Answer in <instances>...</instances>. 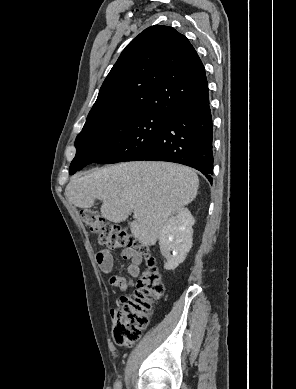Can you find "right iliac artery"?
I'll use <instances>...</instances> for the list:
<instances>
[{
  "label": "right iliac artery",
  "mask_w": 296,
  "mask_h": 389,
  "mask_svg": "<svg viewBox=\"0 0 296 389\" xmlns=\"http://www.w3.org/2000/svg\"><path fill=\"white\" fill-rule=\"evenodd\" d=\"M121 385L120 382L117 383V389H120Z\"/></svg>",
  "instance_id": "82829eb1"
}]
</instances>
